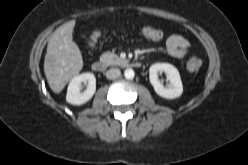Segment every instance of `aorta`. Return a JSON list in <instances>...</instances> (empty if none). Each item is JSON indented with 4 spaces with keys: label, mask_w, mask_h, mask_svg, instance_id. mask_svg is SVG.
<instances>
[{
    "label": "aorta",
    "mask_w": 248,
    "mask_h": 165,
    "mask_svg": "<svg viewBox=\"0 0 248 165\" xmlns=\"http://www.w3.org/2000/svg\"><path fill=\"white\" fill-rule=\"evenodd\" d=\"M134 75H135L134 71L130 68L124 71V76L126 79H133Z\"/></svg>",
    "instance_id": "obj_1"
}]
</instances>
